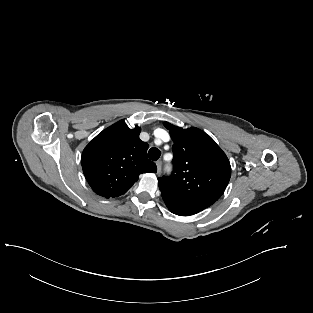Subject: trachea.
I'll return each instance as SVG.
<instances>
[{"instance_id":"1","label":"trachea","mask_w":313,"mask_h":313,"mask_svg":"<svg viewBox=\"0 0 313 313\" xmlns=\"http://www.w3.org/2000/svg\"><path fill=\"white\" fill-rule=\"evenodd\" d=\"M160 155H161L160 150L155 147L151 148L148 152V157L153 161H157Z\"/></svg>"}]
</instances>
